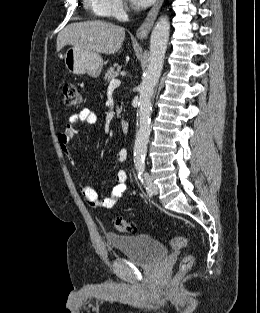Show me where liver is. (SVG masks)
Wrapping results in <instances>:
<instances>
[{
    "label": "liver",
    "mask_w": 260,
    "mask_h": 313,
    "mask_svg": "<svg viewBox=\"0 0 260 313\" xmlns=\"http://www.w3.org/2000/svg\"><path fill=\"white\" fill-rule=\"evenodd\" d=\"M125 29L100 20L69 24L57 36V52L65 45L102 54L120 52Z\"/></svg>",
    "instance_id": "6515ba94"
}]
</instances>
